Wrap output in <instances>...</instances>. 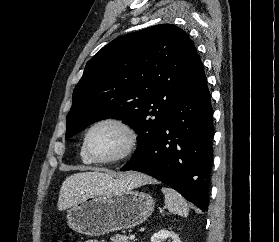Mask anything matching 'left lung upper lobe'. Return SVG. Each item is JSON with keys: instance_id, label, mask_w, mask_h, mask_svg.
I'll return each mask as SVG.
<instances>
[{"instance_id": "left-lung-upper-lobe-1", "label": "left lung upper lobe", "mask_w": 279, "mask_h": 242, "mask_svg": "<svg viewBox=\"0 0 279 242\" xmlns=\"http://www.w3.org/2000/svg\"><path fill=\"white\" fill-rule=\"evenodd\" d=\"M185 31L160 24L104 46L74 89L66 137L107 118L125 121L139 135L132 158L158 138L197 63Z\"/></svg>"}]
</instances>
